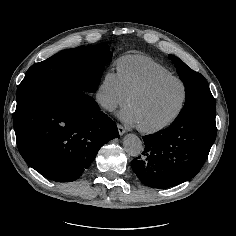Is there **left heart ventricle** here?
Masks as SVG:
<instances>
[{
  "label": "left heart ventricle",
  "instance_id": "1",
  "mask_svg": "<svg viewBox=\"0 0 236 236\" xmlns=\"http://www.w3.org/2000/svg\"><path fill=\"white\" fill-rule=\"evenodd\" d=\"M183 87L177 81L164 82L146 95L134 99L130 108L137 124L152 127L170 118L180 106Z\"/></svg>",
  "mask_w": 236,
  "mask_h": 236
}]
</instances>
